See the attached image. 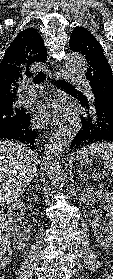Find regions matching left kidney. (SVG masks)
Returning <instances> with one entry per match:
<instances>
[{
    "label": "left kidney",
    "mask_w": 113,
    "mask_h": 279,
    "mask_svg": "<svg viewBox=\"0 0 113 279\" xmlns=\"http://www.w3.org/2000/svg\"><path fill=\"white\" fill-rule=\"evenodd\" d=\"M99 200L107 211L109 218L106 224L105 233L102 234L96 227L93 229L94 237L101 248L108 249L113 246V196L112 193L102 188L96 189L93 186H87L81 193V201L85 205H91Z\"/></svg>",
    "instance_id": "left-kidney-1"
}]
</instances>
